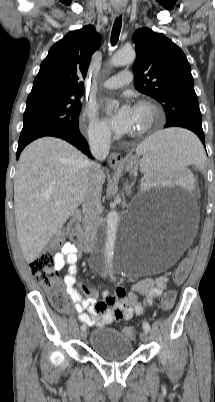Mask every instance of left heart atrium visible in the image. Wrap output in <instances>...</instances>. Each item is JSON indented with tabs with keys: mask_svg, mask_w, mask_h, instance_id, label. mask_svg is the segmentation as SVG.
<instances>
[{
	"mask_svg": "<svg viewBox=\"0 0 215 402\" xmlns=\"http://www.w3.org/2000/svg\"><path fill=\"white\" fill-rule=\"evenodd\" d=\"M111 128L119 133H130L134 123V108L127 102H122L108 115Z\"/></svg>",
	"mask_w": 215,
	"mask_h": 402,
	"instance_id": "left-heart-atrium-1",
	"label": "left heart atrium"
}]
</instances>
